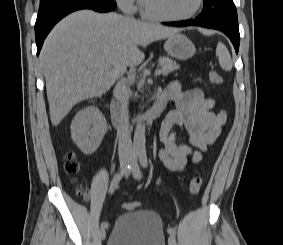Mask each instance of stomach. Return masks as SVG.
I'll use <instances>...</instances> for the list:
<instances>
[{
	"instance_id": "obj_1",
	"label": "stomach",
	"mask_w": 283,
	"mask_h": 245,
	"mask_svg": "<svg viewBox=\"0 0 283 245\" xmlns=\"http://www.w3.org/2000/svg\"><path fill=\"white\" fill-rule=\"evenodd\" d=\"M164 48L170 56L179 60H187L196 52L192 41L178 32L168 37L164 44Z\"/></svg>"
}]
</instances>
